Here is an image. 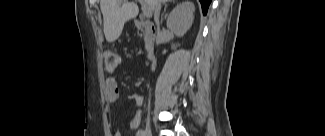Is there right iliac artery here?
<instances>
[{
	"label": "right iliac artery",
	"mask_w": 325,
	"mask_h": 136,
	"mask_svg": "<svg viewBox=\"0 0 325 136\" xmlns=\"http://www.w3.org/2000/svg\"><path fill=\"white\" fill-rule=\"evenodd\" d=\"M145 135H146V133L142 129L137 132V136H145Z\"/></svg>",
	"instance_id": "82829eb1"
}]
</instances>
